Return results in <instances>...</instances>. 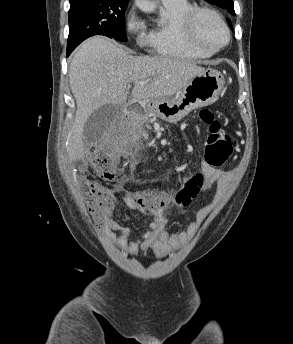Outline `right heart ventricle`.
<instances>
[{
	"label": "right heart ventricle",
	"mask_w": 293,
	"mask_h": 344,
	"mask_svg": "<svg viewBox=\"0 0 293 344\" xmlns=\"http://www.w3.org/2000/svg\"><path fill=\"white\" fill-rule=\"evenodd\" d=\"M196 5L190 0H176L170 3H162V22L151 27L143 38V45L150 51L161 57L201 60L210 57L208 54L192 47L182 32L181 23L184 17Z\"/></svg>",
	"instance_id": "e07e8e85"
}]
</instances>
